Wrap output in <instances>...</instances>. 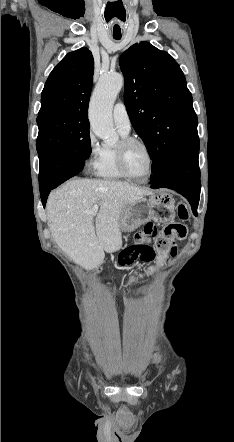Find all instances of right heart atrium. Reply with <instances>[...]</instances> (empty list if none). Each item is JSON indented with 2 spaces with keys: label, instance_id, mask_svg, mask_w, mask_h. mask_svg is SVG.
Masks as SVG:
<instances>
[{
  "label": "right heart atrium",
  "instance_id": "d8ad5b80",
  "mask_svg": "<svg viewBox=\"0 0 234 442\" xmlns=\"http://www.w3.org/2000/svg\"><path fill=\"white\" fill-rule=\"evenodd\" d=\"M87 148L88 155L86 159V167L90 171H96L103 153V147L99 144L96 136L91 130L87 137Z\"/></svg>",
  "mask_w": 234,
  "mask_h": 442
}]
</instances>
